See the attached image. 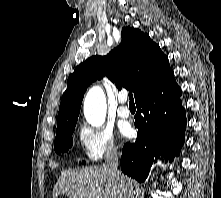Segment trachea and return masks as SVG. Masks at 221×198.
Here are the masks:
<instances>
[{"instance_id":"obj_1","label":"trachea","mask_w":221,"mask_h":198,"mask_svg":"<svg viewBox=\"0 0 221 198\" xmlns=\"http://www.w3.org/2000/svg\"><path fill=\"white\" fill-rule=\"evenodd\" d=\"M129 104H134V99H133V94L132 93H129Z\"/></svg>"}]
</instances>
